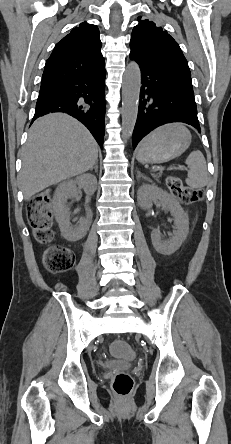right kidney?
Returning a JSON list of instances; mask_svg holds the SVG:
<instances>
[{"label":"right kidney","mask_w":231,"mask_h":444,"mask_svg":"<svg viewBox=\"0 0 231 444\" xmlns=\"http://www.w3.org/2000/svg\"><path fill=\"white\" fill-rule=\"evenodd\" d=\"M77 185L83 188L88 196H91L96 191L97 179L91 174H83L74 180L65 181L57 187L53 197L55 219L60 227L61 235L68 241H77L83 238L91 223L89 218L80 219L75 226L70 223L71 214L67 201L77 197Z\"/></svg>","instance_id":"ca27d5eb"}]
</instances>
